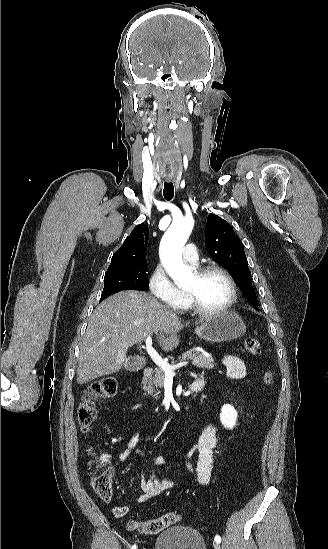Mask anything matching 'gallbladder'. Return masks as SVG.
Masks as SVG:
<instances>
[{"mask_svg":"<svg viewBox=\"0 0 328 549\" xmlns=\"http://www.w3.org/2000/svg\"><path fill=\"white\" fill-rule=\"evenodd\" d=\"M146 365V359L144 357H128L127 365L125 367L126 371L134 373V371H141Z\"/></svg>","mask_w":328,"mask_h":549,"instance_id":"obj_1","label":"gallbladder"}]
</instances>
